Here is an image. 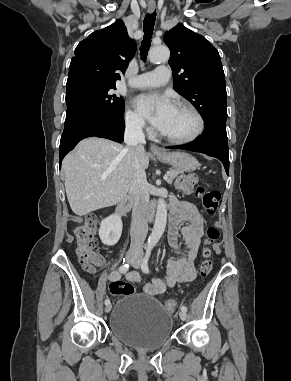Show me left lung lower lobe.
<instances>
[{"mask_svg": "<svg viewBox=\"0 0 291 381\" xmlns=\"http://www.w3.org/2000/svg\"><path fill=\"white\" fill-rule=\"evenodd\" d=\"M168 148L201 152L216 157L222 161L227 175L229 174L228 140L226 126L224 125L207 126L203 134L195 142Z\"/></svg>", "mask_w": 291, "mask_h": 381, "instance_id": "obj_1", "label": "left lung lower lobe"}]
</instances>
